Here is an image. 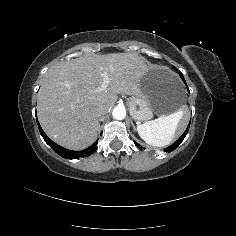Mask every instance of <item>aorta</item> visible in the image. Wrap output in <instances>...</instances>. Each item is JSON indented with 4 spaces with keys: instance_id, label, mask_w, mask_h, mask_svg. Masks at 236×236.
<instances>
[{
    "instance_id": "obj_1",
    "label": "aorta",
    "mask_w": 236,
    "mask_h": 236,
    "mask_svg": "<svg viewBox=\"0 0 236 236\" xmlns=\"http://www.w3.org/2000/svg\"><path fill=\"white\" fill-rule=\"evenodd\" d=\"M112 115L115 119H123L126 115L124 107H115L112 111Z\"/></svg>"
}]
</instances>
